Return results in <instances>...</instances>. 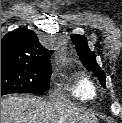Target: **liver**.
<instances>
[{
  "label": "liver",
  "instance_id": "6515ba94",
  "mask_svg": "<svg viewBox=\"0 0 122 123\" xmlns=\"http://www.w3.org/2000/svg\"><path fill=\"white\" fill-rule=\"evenodd\" d=\"M1 123H99L79 108L61 102L42 101L33 96L1 99Z\"/></svg>",
  "mask_w": 122,
  "mask_h": 123
}]
</instances>
